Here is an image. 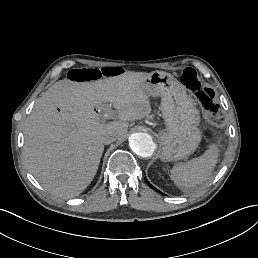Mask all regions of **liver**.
Segmentation results:
<instances>
[{
  "label": "liver",
  "instance_id": "1",
  "mask_svg": "<svg viewBox=\"0 0 258 258\" xmlns=\"http://www.w3.org/2000/svg\"><path fill=\"white\" fill-rule=\"evenodd\" d=\"M151 74L127 71L93 83L60 80L45 92L26 121L23 146L24 162L45 190L68 199L87 187L103 153L102 136L114 131L123 137L129 120L151 112L139 87ZM102 102L120 120L101 123Z\"/></svg>",
  "mask_w": 258,
  "mask_h": 258
}]
</instances>
